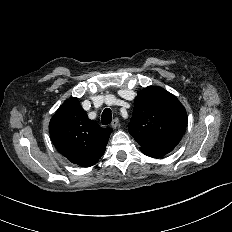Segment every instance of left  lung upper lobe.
<instances>
[{
  "mask_svg": "<svg viewBox=\"0 0 232 232\" xmlns=\"http://www.w3.org/2000/svg\"><path fill=\"white\" fill-rule=\"evenodd\" d=\"M187 125V113L179 100L160 87L148 86L135 98L128 131L141 148L175 147Z\"/></svg>",
  "mask_w": 232,
  "mask_h": 232,
  "instance_id": "obj_1",
  "label": "left lung upper lobe"
}]
</instances>
